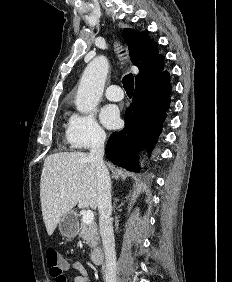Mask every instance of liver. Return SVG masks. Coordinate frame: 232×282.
Here are the masks:
<instances>
[{
  "mask_svg": "<svg viewBox=\"0 0 232 282\" xmlns=\"http://www.w3.org/2000/svg\"><path fill=\"white\" fill-rule=\"evenodd\" d=\"M97 171L84 152H61L48 156L40 181L42 216L49 236L61 217L77 204L97 208Z\"/></svg>",
  "mask_w": 232,
  "mask_h": 282,
  "instance_id": "6515ba94",
  "label": "liver"
}]
</instances>
